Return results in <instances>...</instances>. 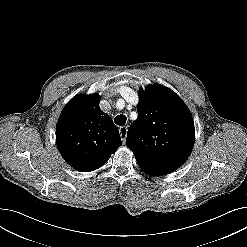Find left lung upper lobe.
I'll use <instances>...</instances> for the list:
<instances>
[{"label": "left lung upper lobe", "instance_id": "left-lung-upper-lobe-1", "mask_svg": "<svg viewBox=\"0 0 247 247\" xmlns=\"http://www.w3.org/2000/svg\"><path fill=\"white\" fill-rule=\"evenodd\" d=\"M138 118L127 132V147L138 165L174 171L189 157L195 139L190 111L172 90L149 85L139 91Z\"/></svg>", "mask_w": 247, "mask_h": 247}]
</instances>
